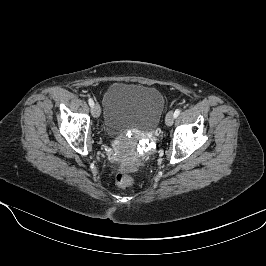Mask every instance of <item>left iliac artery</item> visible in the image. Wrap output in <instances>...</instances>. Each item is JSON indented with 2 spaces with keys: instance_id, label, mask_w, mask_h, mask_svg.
Listing matches in <instances>:
<instances>
[{
  "instance_id": "obj_1",
  "label": "left iliac artery",
  "mask_w": 266,
  "mask_h": 266,
  "mask_svg": "<svg viewBox=\"0 0 266 266\" xmlns=\"http://www.w3.org/2000/svg\"><path fill=\"white\" fill-rule=\"evenodd\" d=\"M180 112H181V110L179 108L176 109L175 112H174V118L178 117Z\"/></svg>"
}]
</instances>
